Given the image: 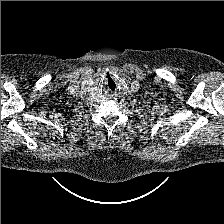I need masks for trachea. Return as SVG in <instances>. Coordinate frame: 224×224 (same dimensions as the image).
I'll return each mask as SVG.
<instances>
[{"instance_id":"1","label":"trachea","mask_w":224,"mask_h":224,"mask_svg":"<svg viewBox=\"0 0 224 224\" xmlns=\"http://www.w3.org/2000/svg\"><path fill=\"white\" fill-rule=\"evenodd\" d=\"M106 88L110 91H114L116 88V82L111 77L106 81Z\"/></svg>"}]
</instances>
